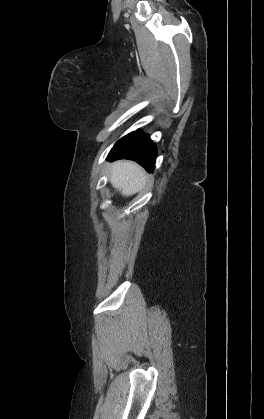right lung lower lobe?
<instances>
[{
  "label": "right lung lower lobe",
  "instance_id": "1",
  "mask_svg": "<svg viewBox=\"0 0 264 419\" xmlns=\"http://www.w3.org/2000/svg\"><path fill=\"white\" fill-rule=\"evenodd\" d=\"M156 155L155 144L148 135L136 131L124 136L114 145L108 155V160L131 159L150 172L155 168Z\"/></svg>",
  "mask_w": 264,
  "mask_h": 419
}]
</instances>
